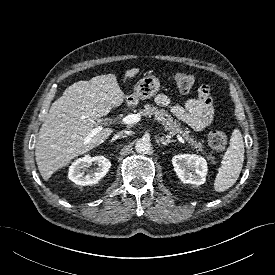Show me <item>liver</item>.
Returning <instances> with one entry per match:
<instances>
[{
	"instance_id": "liver-1",
	"label": "liver",
	"mask_w": 275,
	"mask_h": 275,
	"mask_svg": "<svg viewBox=\"0 0 275 275\" xmlns=\"http://www.w3.org/2000/svg\"><path fill=\"white\" fill-rule=\"evenodd\" d=\"M138 72L139 68L127 70L125 77L132 78ZM125 97L115 74L78 81L66 88L51 105L35 145L37 167L45 181L74 158L99 146L114 132L112 128H104L90 137L95 126L88 118L99 120L113 107L120 106ZM87 137H90L89 142H86Z\"/></svg>"
}]
</instances>
